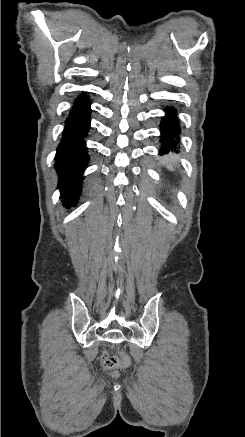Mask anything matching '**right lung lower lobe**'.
<instances>
[{"label":"right lung lower lobe","instance_id":"98d812e1","mask_svg":"<svg viewBox=\"0 0 245 437\" xmlns=\"http://www.w3.org/2000/svg\"><path fill=\"white\" fill-rule=\"evenodd\" d=\"M90 112V101L82 94L70 110L57 148L54 166L59 172L58 188L67 207L76 204L81 193L82 171L89 160L83 138L90 128Z\"/></svg>","mask_w":245,"mask_h":437}]
</instances>
